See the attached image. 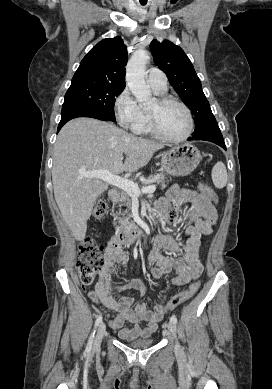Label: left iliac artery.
Segmentation results:
<instances>
[{
    "label": "left iliac artery",
    "mask_w": 272,
    "mask_h": 389,
    "mask_svg": "<svg viewBox=\"0 0 272 389\" xmlns=\"http://www.w3.org/2000/svg\"><path fill=\"white\" fill-rule=\"evenodd\" d=\"M170 321L176 324L177 323V317L172 315L171 318H170Z\"/></svg>",
    "instance_id": "left-iliac-artery-1"
}]
</instances>
